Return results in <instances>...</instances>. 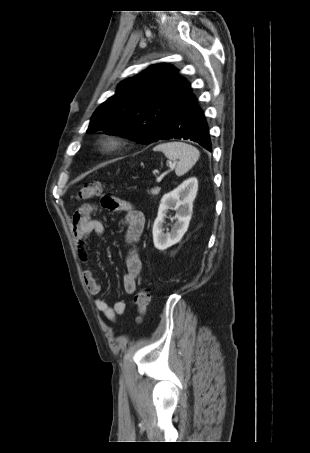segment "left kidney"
<instances>
[{
    "instance_id": "obj_1",
    "label": "left kidney",
    "mask_w": 310,
    "mask_h": 453,
    "mask_svg": "<svg viewBox=\"0 0 310 453\" xmlns=\"http://www.w3.org/2000/svg\"><path fill=\"white\" fill-rule=\"evenodd\" d=\"M197 191L198 180L191 177L162 197L152 231L156 249L164 251L182 239L193 214V202ZM169 209L177 211L176 222L170 232L164 233L165 217Z\"/></svg>"
}]
</instances>
